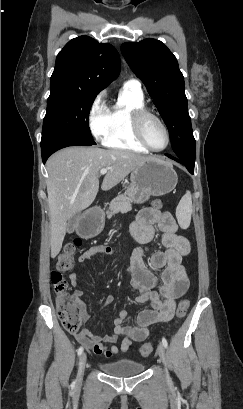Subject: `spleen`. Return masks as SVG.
Listing matches in <instances>:
<instances>
[{"mask_svg":"<svg viewBox=\"0 0 243 409\" xmlns=\"http://www.w3.org/2000/svg\"><path fill=\"white\" fill-rule=\"evenodd\" d=\"M192 214V196L190 191H186L185 195L181 198L176 208V218L179 225L186 229L191 222Z\"/></svg>","mask_w":243,"mask_h":409,"instance_id":"1","label":"spleen"}]
</instances>
